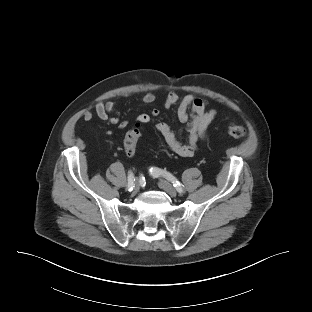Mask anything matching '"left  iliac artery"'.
<instances>
[{
	"label": "left iliac artery",
	"instance_id": "left-iliac-artery-1",
	"mask_svg": "<svg viewBox=\"0 0 312 312\" xmlns=\"http://www.w3.org/2000/svg\"><path fill=\"white\" fill-rule=\"evenodd\" d=\"M149 171L151 175L154 177H159L160 175L165 176L167 179H169L173 183V186L177 189L178 192L181 193L184 191L183 185L169 172L165 170H161L159 168H155V167L150 168Z\"/></svg>",
	"mask_w": 312,
	"mask_h": 312
}]
</instances>
